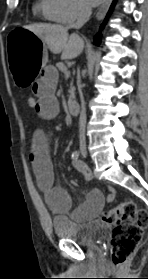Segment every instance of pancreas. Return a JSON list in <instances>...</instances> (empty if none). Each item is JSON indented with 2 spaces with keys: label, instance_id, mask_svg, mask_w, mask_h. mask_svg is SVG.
Here are the masks:
<instances>
[{
  "label": "pancreas",
  "instance_id": "obj_1",
  "mask_svg": "<svg viewBox=\"0 0 148 279\" xmlns=\"http://www.w3.org/2000/svg\"><path fill=\"white\" fill-rule=\"evenodd\" d=\"M57 67H58L59 70H61L64 73H65V71H67V68H66V66L63 63H58ZM71 90H72L71 97H74V90H75V88L72 86Z\"/></svg>",
  "mask_w": 148,
  "mask_h": 279
}]
</instances>
